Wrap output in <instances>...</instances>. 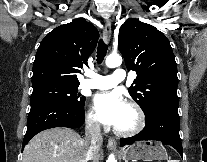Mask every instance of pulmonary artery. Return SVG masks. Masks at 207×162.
I'll use <instances>...</instances> for the list:
<instances>
[{
	"mask_svg": "<svg viewBox=\"0 0 207 162\" xmlns=\"http://www.w3.org/2000/svg\"><path fill=\"white\" fill-rule=\"evenodd\" d=\"M89 79L83 82V86L93 89H111L125 79V71L115 70L111 75L103 76L93 72H87Z\"/></svg>",
	"mask_w": 207,
	"mask_h": 162,
	"instance_id": "e3ab8cb5",
	"label": "pulmonary artery"
}]
</instances>
